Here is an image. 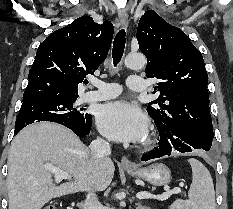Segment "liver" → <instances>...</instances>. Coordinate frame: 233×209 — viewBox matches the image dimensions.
I'll return each instance as SVG.
<instances>
[{
  "label": "liver",
  "mask_w": 233,
  "mask_h": 209,
  "mask_svg": "<svg viewBox=\"0 0 233 209\" xmlns=\"http://www.w3.org/2000/svg\"><path fill=\"white\" fill-rule=\"evenodd\" d=\"M46 165L67 172L74 181L55 185ZM111 159L94 157L69 129L35 123L13 139L8 156L9 209H41L53 198L80 191H103L111 183Z\"/></svg>",
  "instance_id": "6515ba94"
}]
</instances>
